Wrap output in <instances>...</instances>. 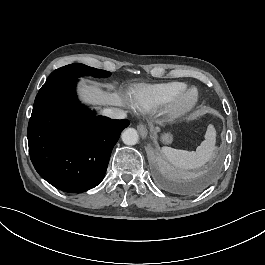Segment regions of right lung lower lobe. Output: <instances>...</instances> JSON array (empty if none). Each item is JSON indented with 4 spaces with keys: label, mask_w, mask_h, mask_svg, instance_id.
I'll return each mask as SVG.
<instances>
[{
    "label": "right lung lower lobe",
    "mask_w": 265,
    "mask_h": 265,
    "mask_svg": "<svg viewBox=\"0 0 265 265\" xmlns=\"http://www.w3.org/2000/svg\"><path fill=\"white\" fill-rule=\"evenodd\" d=\"M78 78L45 83L28 124L31 161L48 183L69 193H82L104 178L112 149L128 120L96 116L80 104Z\"/></svg>",
    "instance_id": "1"
}]
</instances>
